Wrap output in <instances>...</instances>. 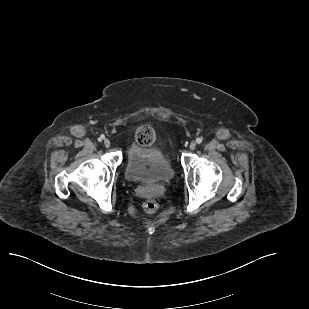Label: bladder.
<instances>
[{"mask_svg": "<svg viewBox=\"0 0 309 309\" xmlns=\"http://www.w3.org/2000/svg\"><path fill=\"white\" fill-rule=\"evenodd\" d=\"M124 174L134 183L168 182L174 169L160 147L133 143L127 150Z\"/></svg>", "mask_w": 309, "mask_h": 309, "instance_id": "bladder-1", "label": "bladder"}]
</instances>
